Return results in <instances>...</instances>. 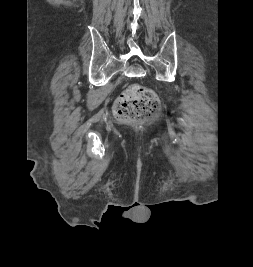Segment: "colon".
<instances>
[{
    "mask_svg": "<svg viewBox=\"0 0 253 267\" xmlns=\"http://www.w3.org/2000/svg\"><path fill=\"white\" fill-rule=\"evenodd\" d=\"M158 108L159 99L156 93L150 88L134 84L118 97L114 113L121 121L133 122L154 115Z\"/></svg>",
    "mask_w": 253,
    "mask_h": 267,
    "instance_id": "obj_1",
    "label": "colon"
}]
</instances>
